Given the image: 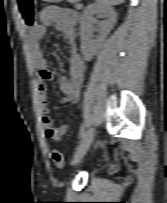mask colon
<instances>
[{
	"label": "colon",
	"mask_w": 167,
	"mask_h": 203,
	"mask_svg": "<svg viewBox=\"0 0 167 203\" xmlns=\"http://www.w3.org/2000/svg\"><path fill=\"white\" fill-rule=\"evenodd\" d=\"M18 11L24 25L27 29L31 31H36V21H35V1L34 0H17ZM51 158L57 167L64 166V157L62 153L54 149L51 152Z\"/></svg>",
	"instance_id": "1"
}]
</instances>
